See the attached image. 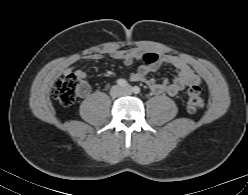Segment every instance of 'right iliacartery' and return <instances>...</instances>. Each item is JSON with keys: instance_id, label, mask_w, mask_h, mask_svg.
Returning <instances> with one entry per match:
<instances>
[{"instance_id": "right-iliac-artery-1", "label": "right iliac artery", "mask_w": 248, "mask_h": 195, "mask_svg": "<svg viewBox=\"0 0 248 195\" xmlns=\"http://www.w3.org/2000/svg\"><path fill=\"white\" fill-rule=\"evenodd\" d=\"M117 84L121 87H128L129 86L128 82L125 79H118Z\"/></svg>"}]
</instances>
